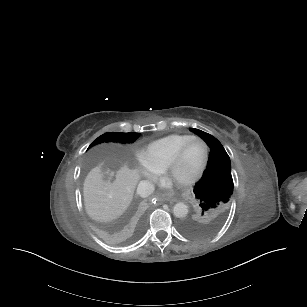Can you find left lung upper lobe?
Masks as SVG:
<instances>
[{"label": "left lung upper lobe", "instance_id": "left-lung-upper-lobe-1", "mask_svg": "<svg viewBox=\"0 0 307 307\" xmlns=\"http://www.w3.org/2000/svg\"><path fill=\"white\" fill-rule=\"evenodd\" d=\"M191 131L210 146V155L206 170L194 187L196 215L182 221L181 229L191 236H209L223 224L233 195L231 162L214 136L198 129Z\"/></svg>", "mask_w": 307, "mask_h": 307}]
</instances>
